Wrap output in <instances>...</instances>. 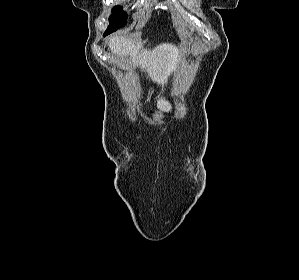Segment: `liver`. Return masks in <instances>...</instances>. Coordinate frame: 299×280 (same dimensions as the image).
Returning a JSON list of instances; mask_svg holds the SVG:
<instances>
[{"label": "liver", "mask_w": 299, "mask_h": 280, "mask_svg": "<svg viewBox=\"0 0 299 280\" xmlns=\"http://www.w3.org/2000/svg\"><path fill=\"white\" fill-rule=\"evenodd\" d=\"M108 45L111 52L119 57L124 58V56L130 55L132 57L129 62L131 65H139L153 81L161 84L166 81L169 73L176 69L180 60V50L172 44L163 43L153 50H147L139 42L123 36H116L110 39ZM157 107L163 112L171 110V104L163 98L157 101Z\"/></svg>", "instance_id": "liver-1"}]
</instances>
